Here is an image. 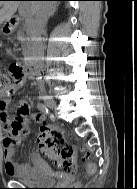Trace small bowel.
<instances>
[{
    "instance_id": "c3829d8e",
    "label": "small bowel",
    "mask_w": 137,
    "mask_h": 189,
    "mask_svg": "<svg viewBox=\"0 0 137 189\" xmlns=\"http://www.w3.org/2000/svg\"><path fill=\"white\" fill-rule=\"evenodd\" d=\"M25 75H30L27 70H24L21 81ZM7 103L8 100L6 98L0 97V138L4 146V168L6 173L10 176H14L16 174L27 175L29 174L31 167L27 164L16 163L15 161L16 153L14 145L21 141V134H13L10 125L17 119H21L23 121V125H26V115L22 114L21 110L24 107L28 108V105L24 101H20L17 106V113L15 117L10 119L7 115ZM31 159L34 162H37L39 160L38 154L32 153Z\"/></svg>"
}]
</instances>
